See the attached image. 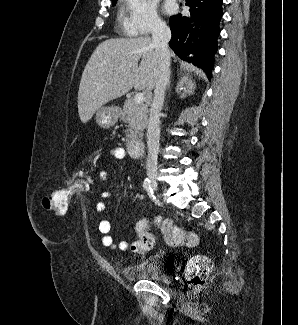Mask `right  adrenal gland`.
Listing matches in <instances>:
<instances>
[{"mask_svg": "<svg viewBox=\"0 0 298 325\" xmlns=\"http://www.w3.org/2000/svg\"><path fill=\"white\" fill-rule=\"evenodd\" d=\"M170 74H171V72H169L168 82H167V86H166V88H170V84H171Z\"/></svg>", "mask_w": 298, "mask_h": 325, "instance_id": "right-adrenal-gland-1", "label": "right adrenal gland"}]
</instances>
